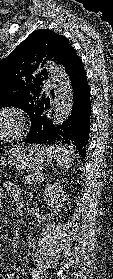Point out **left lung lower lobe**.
<instances>
[{
	"mask_svg": "<svg viewBox=\"0 0 113 279\" xmlns=\"http://www.w3.org/2000/svg\"><path fill=\"white\" fill-rule=\"evenodd\" d=\"M68 74L73 89V107L69 118L61 125H54L49 98H42L36 106L30 132L23 140L30 144H63L76 149L82 158L90 133L91 102L90 89L82 61L75 50H72L62 64ZM44 99V100H43Z\"/></svg>",
	"mask_w": 113,
	"mask_h": 279,
	"instance_id": "obj_1",
	"label": "left lung lower lobe"
}]
</instances>
